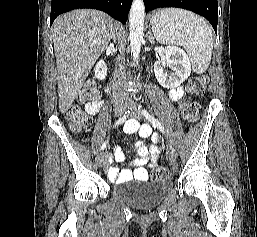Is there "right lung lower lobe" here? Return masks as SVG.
<instances>
[{"label":"right lung lower lobe","mask_w":257,"mask_h":237,"mask_svg":"<svg viewBox=\"0 0 257 237\" xmlns=\"http://www.w3.org/2000/svg\"><path fill=\"white\" fill-rule=\"evenodd\" d=\"M131 3L132 0H52L50 25L59 14L82 8L104 11L125 24Z\"/></svg>","instance_id":"obj_1"}]
</instances>
